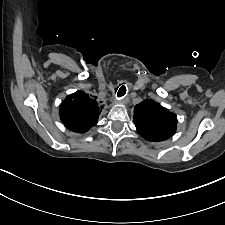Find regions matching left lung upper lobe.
I'll list each match as a JSON object with an SVG mask.
<instances>
[{
	"instance_id": "1",
	"label": "left lung upper lobe",
	"mask_w": 225,
	"mask_h": 225,
	"mask_svg": "<svg viewBox=\"0 0 225 225\" xmlns=\"http://www.w3.org/2000/svg\"><path fill=\"white\" fill-rule=\"evenodd\" d=\"M133 119L138 133L152 142L170 138L177 128L176 115L153 100L137 104Z\"/></svg>"
}]
</instances>
